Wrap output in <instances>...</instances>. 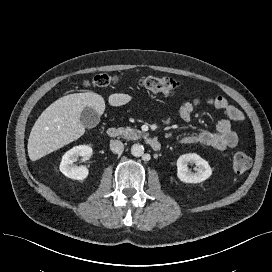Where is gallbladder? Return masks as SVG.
I'll list each match as a JSON object with an SVG mask.
<instances>
[{
	"label": "gallbladder",
	"mask_w": 272,
	"mask_h": 272,
	"mask_svg": "<svg viewBox=\"0 0 272 272\" xmlns=\"http://www.w3.org/2000/svg\"><path fill=\"white\" fill-rule=\"evenodd\" d=\"M81 124L91 129L97 126L100 122V115L91 107H85L80 116Z\"/></svg>",
	"instance_id": "1"
}]
</instances>
